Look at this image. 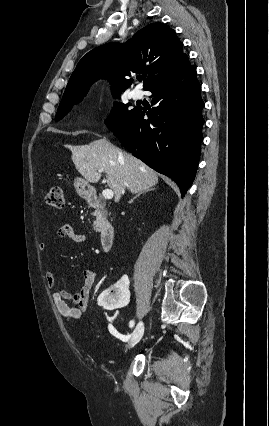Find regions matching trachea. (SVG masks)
I'll use <instances>...</instances> for the list:
<instances>
[{
  "label": "trachea",
  "instance_id": "1",
  "mask_svg": "<svg viewBox=\"0 0 269 426\" xmlns=\"http://www.w3.org/2000/svg\"><path fill=\"white\" fill-rule=\"evenodd\" d=\"M143 79H144L143 77L138 78L139 81H142Z\"/></svg>",
  "mask_w": 269,
  "mask_h": 426
}]
</instances>
